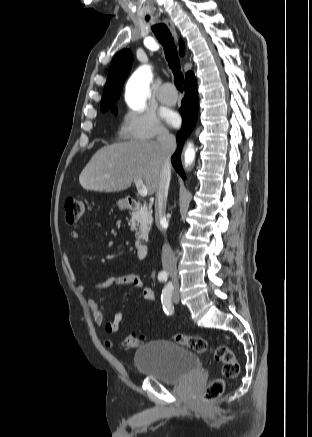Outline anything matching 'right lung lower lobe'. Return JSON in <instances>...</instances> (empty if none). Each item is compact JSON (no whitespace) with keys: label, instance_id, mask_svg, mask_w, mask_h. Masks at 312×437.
Here are the masks:
<instances>
[{"label":"right lung lower lobe","instance_id":"1","mask_svg":"<svg viewBox=\"0 0 312 437\" xmlns=\"http://www.w3.org/2000/svg\"><path fill=\"white\" fill-rule=\"evenodd\" d=\"M185 93L186 95L182 100V106L180 108L183 123L176 137L177 150L171 157L173 167L183 179H185L186 176L181 165L180 154L183 143L193 130L198 116L197 82L194 74H191L185 80Z\"/></svg>","mask_w":312,"mask_h":437}]
</instances>
